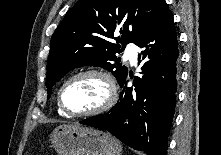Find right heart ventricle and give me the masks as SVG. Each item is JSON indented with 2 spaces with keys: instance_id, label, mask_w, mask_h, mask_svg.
<instances>
[{
  "instance_id": "1",
  "label": "right heart ventricle",
  "mask_w": 221,
  "mask_h": 155,
  "mask_svg": "<svg viewBox=\"0 0 221 155\" xmlns=\"http://www.w3.org/2000/svg\"><path fill=\"white\" fill-rule=\"evenodd\" d=\"M58 111H59L60 114L66 115V114L59 108V106H58Z\"/></svg>"
}]
</instances>
